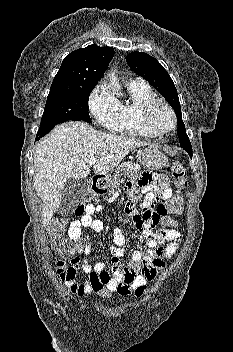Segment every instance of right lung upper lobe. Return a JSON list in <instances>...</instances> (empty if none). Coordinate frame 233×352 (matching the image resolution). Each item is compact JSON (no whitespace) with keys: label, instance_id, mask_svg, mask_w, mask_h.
I'll return each instance as SVG.
<instances>
[{"label":"right lung upper lobe","instance_id":"right-lung-upper-lobe-1","mask_svg":"<svg viewBox=\"0 0 233 352\" xmlns=\"http://www.w3.org/2000/svg\"><path fill=\"white\" fill-rule=\"evenodd\" d=\"M114 49L89 45L67 55L51 85V90H72L96 85L104 75Z\"/></svg>","mask_w":233,"mask_h":352}]
</instances>
